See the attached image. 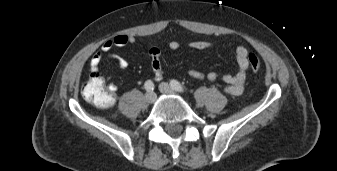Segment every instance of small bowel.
Wrapping results in <instances>:
<instances>
[{"label": "small bowel", "instance_id": "1", "mask_svg": "<svg viewBox=\"0 0 337 171\" xmlns=\"http://www.w3.org/2000/svg\"><path fill=\"white\" fill-rule=\"evenodd\" d=\"M136 43V38L129 34H118L112 39L106 40L99 51H97L90 60V68L92 75L100 73V64L103 56L115 59L117 61L118 68L120 70L127 69L129 63L126 58L112 53L114 47L122 48L127 45H133ZM189 47L194 50H206L214 46L211 41L196 40L191 41ZM168 47L171 50H177L180 48V43L176 40H172L168 43ZM248 50L243 46H238L235 49L234 57L237 65V71L234 74H219L214 71L203 72L200 70L192 69L189 71V75L198 80L206 79L210 82L222 81L225 85L224 89L227 93L238 95L241 94L244 88V84L247 77L248 63ZM149 56L151 59V68L156 80H160L163 77V69L161 63V51L157 47H153L149 50ZM107 89L115 95L117 92V86L114 83H109Z\"/></svg>", "mask_w": 337, "mask_h": 171}]
</instances>
